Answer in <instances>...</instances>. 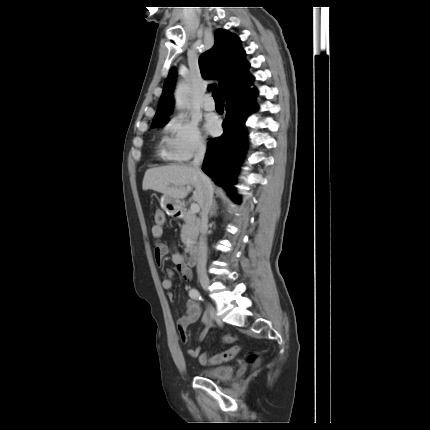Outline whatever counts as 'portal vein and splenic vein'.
<instances>
[{"instance_id":"portal-vein-and-splenic-vein-1","label":"portal vein and splenic vein","mask_w":430,"mask_h":430,"mask_svg":"<svg viewBox=\"0 0 430 430\" xmlns=\"http://www.w3.org/2000/svg\"><path fill=\"white\" fill-rule=\"evenodd\" d=\"M190 190H191V187L187 186V191H190ZM190 211L193 214L198 213L200 211L199 205L197 203H192L191 206H190Z\"/></svg>"}]
</instances>
